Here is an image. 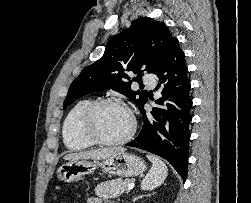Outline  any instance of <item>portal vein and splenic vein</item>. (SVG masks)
I'll list each match as a JSON object with an SVG mask.
<instances>
[{
  "label": "portal vein and splenic vein",
  "instance_id": "1",
  "mask_svg": "<svg viewBox=\"0 0 251 203\" xmlns=\"http://www.w3.org/2000/svg\"><path fill=\"white\" fill-rule=\"evenodd\" d=\"M135 184L134 183H130L127 186V190H132L134 188Z\"/></svg>",
  "mask_w": 251,
  "mask_h": 203
}]
</instances>
